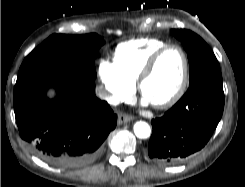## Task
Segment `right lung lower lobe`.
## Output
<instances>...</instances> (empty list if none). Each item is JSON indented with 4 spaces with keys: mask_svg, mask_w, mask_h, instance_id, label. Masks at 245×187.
I'll list each match as a JSON object with an SVG mask.
<instances>
[{
    "mask_svg": "<svg viewBox=\"0 0 245 187\" xmlns=\"http://www.w3.org/2000/svg\"><path fill=\"white\" fill-rule=\"evenodd\" d=\"M55 87L57 96L46 97ZM94 78L57 67L20 72L14 88V111L20 136L45 162L76 169L93 162L117 115L94 93Z\"/></svg>",
    "mask_w": 245,
    "mask_h": 187,
    "instance_id": "obj_1",
    "label": "right lung lower lobe"
}]
</instances>
